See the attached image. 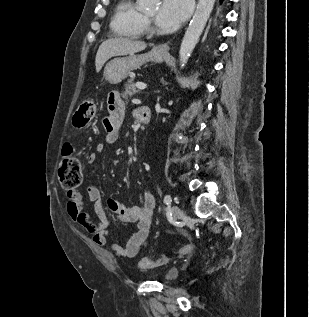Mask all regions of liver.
<instances>
[{
	"label": "liver",
	"mask_w": 309,
	"mask_h": 317,
	"mask_svg": "<svg viewBox=\"0 0 309 317\" xmlns=\"http://www.w3.org/2000/svg\"><path fill=\"white\" fill-rule=\"evenodd\" d=\"M147 47L145 42L128 38H110L104 41L96 54V72L99 73L105 62L111 57L134 54Z\"/></svg>",
	"instance_id": "liver-1"
}]
</instances>
